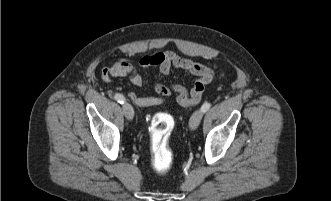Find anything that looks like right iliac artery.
I'll return each mask as SVG.
<instances>
[{"instance_id":"82829eb1","label":"right iliac artery","mask_w":331,"mask_h":201,"mask_svg":"<svg viewBox=\"0 0 331 201\" xmlns=\"http://www.w3.org/2000/svg\"><path fill=\"white\" fill-rule=\"evenodd\" d=\"M114 99L120 104H123L125 102V97L119 93L115 94Z\"/></svg>"}]
</instances>
